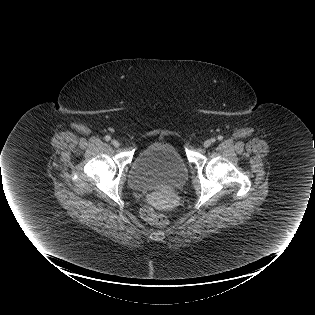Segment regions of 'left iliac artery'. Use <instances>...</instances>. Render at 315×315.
<instances>
[{"instance_id": "1", "label": "left iliac artery", "mask_w": 315, "mask_h": 315, "mask_svg": "<svg viewBox=\"0 0 315 315\" xmlns=\"http://www.w3.org/2000/svg\"><path fill=\"white\" fill-rule=\"evenodd\" d=\"M223 139V137L222 136H218V140H222Z\"/></svg>"}]
</instances>
